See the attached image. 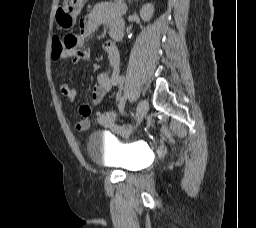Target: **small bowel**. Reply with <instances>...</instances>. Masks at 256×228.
Here are the masks:
<instances>
[{"mask_svg": "<svg viewBox=\"0 0 256 228\" xmlns=\"http://www.w3.org/2000/svg\"><path fill=\"white\" fill-rule=\"evenodd\" d=\"M124 11L125 5L120 0L96 5L81 20L79 34H68L65 36L63 40V51L57 59L61 61L71 59L73 64H78L81 61H89L91 52L85 47L86 40L102 25L109 26L110 34L114 27H123L122 15ZM115 41L116 39L112 36V39L106 40L102 44V49L108 56L109 70L108 72L99 74L97 77V82L92 93V105L99 104L113 88L121 85L120 54ZM60 92L69 101H74L78 96L77 88L71 87L67 83L61 84ZM92 105L82 104L77 108V114L80 120L74 123L76 131L83 132L89 129L90 118L93 113ZM108 127L115 133L124 131L118 125L113 124Z\"/></svg>", "mask_w": 256, "mask_h": 228, "instance_id": "1", "label": "small bowel"}]
</instances>
